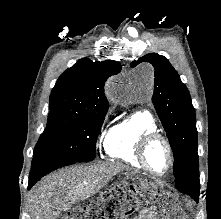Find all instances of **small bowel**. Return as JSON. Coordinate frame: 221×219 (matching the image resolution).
I'll list each match as a JSON object with an SVG mask.
<instances>
[{
    "mask_svg": "<svg viewBox=\"0 0 221 219\" xmlns=\"http://www.w3.org/2000/svg\"><path fill=\"white\" fill-rule=\"evenodd\" d=\"M133 219H156L155 209L154 208L144 209L138 216L134 217Z\"/></svg>",
    "mask_w": 221,
    "mask_h": 219,
    "instance_id": "small-bowel-1",
    "label": "small bowel"
}]
</instances>
